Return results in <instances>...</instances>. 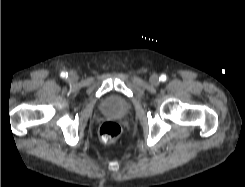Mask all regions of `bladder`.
<instances>
[{
	"mask_svg": "<svg viewBox=\"0 0 245 187\" xmlns=\"http://www.w3.org/2000/svg\"><path fill=\"white\" fill-rule=\"evenodd\" d=\"M131 103L121 96H108L101 100L100 110L107 115L122 116L129 112Z\"/></svg>",
	"mask_w": 245,
	"mask_h": 187,
	"instance_id": "1",
	"label": "bladder"
}]
</instances>
